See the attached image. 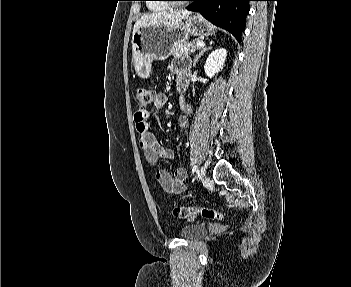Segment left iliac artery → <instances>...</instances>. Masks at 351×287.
Returning a JSON list of instances; mask_svg holds the SVG:
<instances>
[{
	"instance_id": "obj_1",
	"label": "left iliac artery",
	"mask_w": 351,
	"mask_h": 287,
	"mask_svg": "<svg viewBox=\"0 0 351 287\" xmlns=\"http://www.w3.org/2000/svg\"><path fill=\"white\" fill-rule=\"evenodd\" d=\"M197 171H198V167H197L196 165H194V166L192 167V173L197 172Z\"/></svg>"
}]
</instances>
